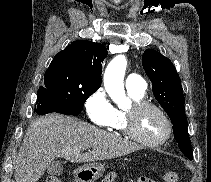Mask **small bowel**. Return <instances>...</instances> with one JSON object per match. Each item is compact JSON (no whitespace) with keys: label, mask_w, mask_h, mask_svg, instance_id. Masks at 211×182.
Wrapping results in <instances>:
<instances>
[{"label":"small bowel","mask_w":211,"mask_h":182,"mask_svg":"<svg viewBox=\"0 0 211 182\" xmlns=\"http://www.w3.org/2000/svg\"><path fill=\"white\" fill-rule=\"evenodd\" d=\"M138 182H155V181H152V180L146 179V178H142Z\"/></svg>","instance_id":"1"}]
</instances>
